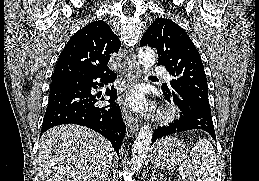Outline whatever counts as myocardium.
Returning <instances> with one entry per match:
<instances>
[{"label":"myocardium","mask_w":259,"mask_h":181,"mask_svg":"<svg viewBox=\"0 0 259 181\" xmlns=\"http://www.w3.org/2000/svg\"><path fill=\"white\" fill-rule=\"evenodd\" d=\"M175 112L173 109H164L159 113V118L162 121H170L174 118Z\"/></svg>","instance_id":"f54148a6"}]
</instances>
